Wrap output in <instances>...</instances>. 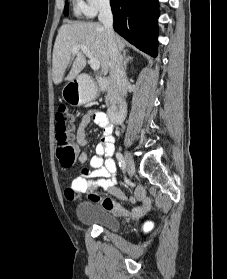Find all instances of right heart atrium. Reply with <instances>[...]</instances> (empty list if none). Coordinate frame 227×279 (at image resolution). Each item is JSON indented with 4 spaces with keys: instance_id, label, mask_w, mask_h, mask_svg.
Listing matches in <instances>:
<instances>
[{
    "instance_id": "right-heart-atrium-1",
    "label": "right heart atrium",
    "mask_w": 227,
    "mask_h": 279,
    "mask_svg": "<svg viewBox=\"0 0 227 279\" xmlns=\"http://www.w3.org/2000/svg\"><path fill=\"white\" fill-rule=\"evenodd\" d=\"M77 7L87 16H94L108 6L110 0H76Z\"/></svg>"
}]
</instances>
